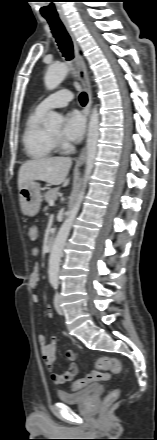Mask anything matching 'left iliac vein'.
Listing matches in <instances>:
<instances>
[{
    "mask_svg": "<svg viewBox=\"0 0 157 440\" xmlns=\"http://www.w3.org/2000/svg\"><path fill=\"white\" fill-rule=\"evenodd\" d=\"M54 306H55V309H56L58 314H60V315L64 314V310H63V308L61 306V295L58 292L55 295Z\"/></svg>",
    "mask_w": 157,
    "mask_h": 440,
    "instance_id": "1",
    "label": "left iliac vein"
}]
</instances>
